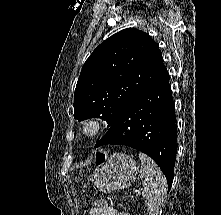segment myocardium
<instances>
[{"label":"myocardium","mask_w":221,"mask_h":215,"mask_svg":"<svg viewBox=\"0 0 221 215\" xmlns=\"http://www.w3.org/2000/svg\"><path fill=\"white\" fill-rule=\"evenodd\" d=\"M105 121L100 116H90L82 121L80 135L85 140H93L103 131Z\"/></svg>","instance_id":"myocardium-1"}]
</instances>
